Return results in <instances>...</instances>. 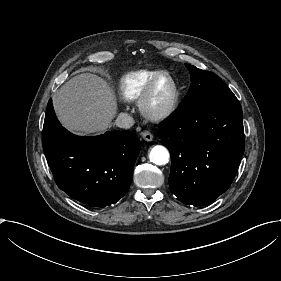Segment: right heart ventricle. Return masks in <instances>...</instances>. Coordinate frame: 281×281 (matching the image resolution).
Returning <instances> with one entry per match:
<instances>
[{
    "label": "right heart ventricle",
    "instance_id": "obj_1",
    "mask_svg": "<svg viewBox=\"0 0 281 281\" xmlns=\"http://www.w3.org/2000/svg\"><path fill=\"white\" fill-rule=\"evenodd\" d=\"M164 71L140 70L121 77L117 84V93L123 101H134L140 98L149 82Z\"/></svg>",
    "mask_w": 281,
    "mask_h": 281
}]
</instances>
